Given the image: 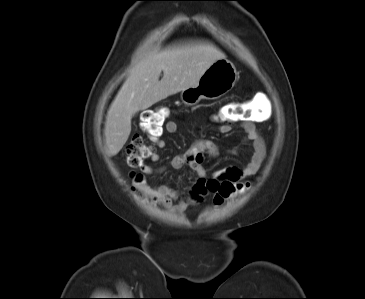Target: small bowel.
<instances>
[{
  "label": "small bowel",
  "mask_w": 365,
  "mask_h": 299,
  "mask_svg": "<svg viewBox=\"0 0 365 299\" xmlns=\"http://www.w3.org/2000/svg\"><path fill=\"white\" fill-rule=\"evenodd\" d=\"M261 118L257 117L253 120L241 121V127L245 132L244 141L251 142L253 146V154L250 160L243 167H228L215 172L211 177H207V172L203 165L205 157L217 156L219 151L217 146L210 140H199L197 141L187 152L183 154L176 155L171 162L172 167L180 169L183 167L191 168L199 177L195 184V187H199L202 184L211 181L217 183L223 182H238L243 178L253 176L257 174L262 166V163L266 157V147L265 143L256 129V122ZM165 131L169 134H174L178 130V125L175 121H167L165 124ZM232 127L230 123H221L219 126V131L221 133H228L231 131ZM155 139V144L158 148L164 149L166 147V142L164 139L157 137ZM232 154H236V150L231 151ZM150 160L153 162H158L160 156L153 152L150 155ZM164 170V167H153L150 165L141 166V171L144 174H156ZM139 188L154 201L159 204L166 206L167 208L174 211H182L189 204L194 203L191 199H182L177 205L173 204V201L179 198L178 192L165 184L158 185L156 187H151L148 184L138 181Z\"/></svg>",
  "instance_id": "small-bowel-1"
}]
</instances>
